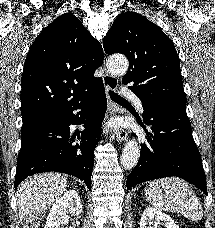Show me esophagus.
<instances>
[{
    "label": "esophagus",
    "instance_id": "34e87169",
    "mask_svg": "<svg viewBox=\"0 0 215 228\" xmlns=\"http://www.w3.org/2000/svg\"><path fill=\"white\" fill-rule=\"evenodd\" d=\"M105 67V65H104ZM103 82L106 88V91H116L118 88V79L113 76L110 75V73H108L107 71H105L104 75H103ZM110 113L113 115H120V111H118L117 109L114 108L112 102L110 101ZM128 134L126 132V130H118L116 131V139L118 142H123L127 139Z\"/></svg>",
    "mask_w": 215,
    "mask_h": 228
}]
</instances>
